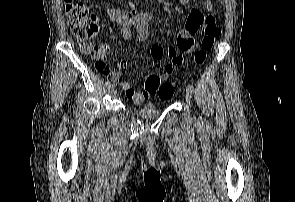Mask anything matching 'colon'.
I'll return each mask as SVG.
<instances>
[{
    "label": "colon",
    "mask_w": 295,
    "mask_h": 202,
    "mask_svg": "<svg viewBox=\"0 0 295 202\" xmlns=\"http://www.w3.org/2000/svg\"><path fill=\"white\" fill-rule=\"evenodd\" d=\"M65 12L71 32L79 42L81 49L88 46L98 28L89 15L86 5L77 0H66ZM219 32L215 23H208L204 27L201 46L195 55L197 64H202L205 61L206 53L212 49ZM162 79L165 78L158 75L144 79L145 90H154L161 99L169 100L175 92L176 83L174 81H162Z\"/></svg>",
    "instance_id": "colon-1"
}]
</instances>
